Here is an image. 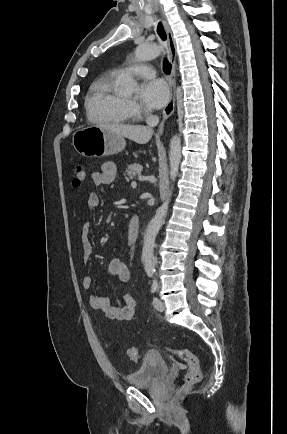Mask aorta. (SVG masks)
I'll return each instance as SVG.
<instances>
[{"instance_id":"aorta-1","label":"aorta","mask_w":287,"mask_h":434,"mask_svg":"<svg viewBox=\"0 0 287 434\" xmlns=\"http://www.w3.org/2000/svg\"><path fill=\"white\" fill-rule=\"evenodd\" d=\"M161 53V48L157 44H140L135 49V60L148 61L155 59ZM137 87L136 81L132 77H127L124 84V91L132 93ZM181 162V139L179 135H174L170 140V152H169V175L171 181L174 183L179 172V165ZM173 185L171 186L168 196L163 204L157 209L155 216L150 221L146 233L144 236L142 261L144 269L148 274H153L155 271V258H154V246L155 239L160 230L165 217L168 212L169 203L172 196Z\"/></svg>"}]
</instances>
